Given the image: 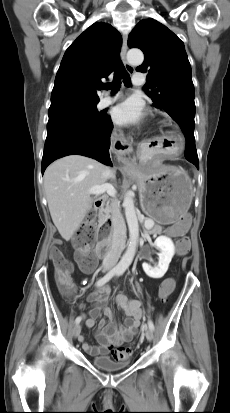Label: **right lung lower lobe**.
<instances>
[{
	"label": "right lung lower lobe",
	"instance_id": "1",
	"mask_svg": "<svg viewBox=\"0 0 230 413\" xmlns=\"http://www.w3.org/2000/svg\"><path fill=\"white\" fill-rule=\"evenodd\" d=\"M113 123L109 116L95 124H63L47 130L42 158V174L54 160L67 155H83L112 166L109 156Z\"/></svg>",
	"mask_w": 230,
	"mask_h": 413
}]
</instances>
